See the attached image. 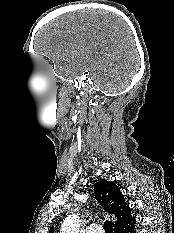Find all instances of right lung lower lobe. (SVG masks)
Returning a JSON list of instances; mask_svg holds the SVG:
<instances>
[{"label": "right lung lower lobe", "instance_id": "98d812e1", "mask_svg": "<svg viewBox=\"0 0 174 233\" xmlns=\"http://www.w3.org/2000/svg\"><path fill=\"white\" fill-rule=\"evenodd\" d=\"M135 223L133 225H131L129 228L123 230L121 233H136Z\"/></svg>", "mask_w": 174, "mask_h": 233}]
</instances>
